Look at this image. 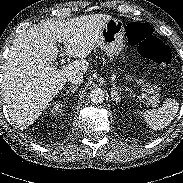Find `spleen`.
<instances>
[{
	"label": "spleen",
	"mask_w": 183,
	"mask_h": 183,
	"mask_svg": "<svg viewBox=\"0 0 183 183\" xmlns=\"http://www.w3.org/2000/svg\"><path fill=\"white\" fill-rule=\"evenodd\" d=\"M179 110V104L175 99L168 98L164 101L162 107L150 109L140 114L149 128L158 131L167 127L176 116Z\"/></svg>",
	"instance_id": "spleen-1"
}]
</instances>
